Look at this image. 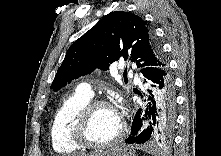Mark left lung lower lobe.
<instances>
[{
	"mask_svg": "<svg viewBox=\"0 0 221 156\" xmlns=\"http://www.w3.org/2000/svg\"><path fill=\"white\" fill-rule=\"evenodd\" d=\"M146 90L144 94L149 102L145 111L147 127L137 135L142 127V109L135 113L130 136L126 143H145L147 141H161L172 136L176 119V103L174 79L169 66L152 67L142 71Z\"/></svg>",
	"mask_w": 221,
	"mask_h": 156,
	"instance_id": "obj_1",
	"label": "left lung lower lobe"
}]
</instances>
